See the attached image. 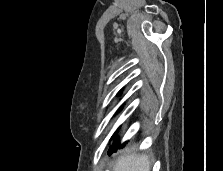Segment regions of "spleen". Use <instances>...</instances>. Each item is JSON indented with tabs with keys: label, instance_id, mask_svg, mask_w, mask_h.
Returning a JSON list of instances; mask_svg holds the SVG:
<instances>
[{
	"label": "spleen",
	"instance_id": "3e777b00",
	"mask_svg": "<svg viewBox=\"0 0 223 171\" xmlns=\"http://www.w3.org/2000/svg\"><path fill=\"white\" fill-rule=\"evenodd\" d=\"M150 168L147 155L125 154L115 162L113 171H150Z\"/></svg>",
	"mask_w": 223,
	"mask_h": 171
}]
</instances>
